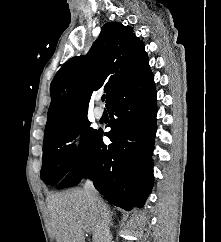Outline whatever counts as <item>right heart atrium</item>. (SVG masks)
I'll use <instances>...</instances> for the list:
<instances>
[{"mask_svg":"<svg viewBox=\"0 0 221 242\" xmlns=\"http://www.w3.org/2000/svg\"><path fill=\"white\" fill-rule=\"evenodd\" d=\"M66 161L70 170L80 167L87 157V146L84 138L79 135H73L66 145Z\"/></svg>","mask_w":221,"mask_h":242,"instance_id":"right-heart-atrium-1","label":"right heart atrium"}]
</instances>
